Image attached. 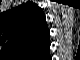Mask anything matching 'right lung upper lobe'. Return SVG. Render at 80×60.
I'll use <instances>...</instances> for the list:
<instances>
[{
  "label": "right lung upper lobe",
  "mask_w": 80,
  "mask_h": 60,
  "mask_svg": "<svg viewBox=\"0 0 80 60\" xmlns=\"http://www.w3.org/2000/svg\"><path fill=\"white\" fill-rule=\"evenodd\" d=\"M1 33L2 47L14 51L21 57L44 51L49 45L45 15L31 2L3 13Z\"/></svg>",
  "instance_id": "obj_1"
}]
</instances>
